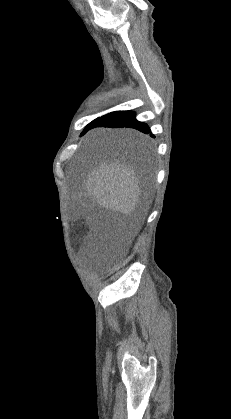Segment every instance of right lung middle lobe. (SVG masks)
Here are the masks:
<instances>
[{
	"label": "right lung middle lobe",
	"mask_w": 231,
	"mask_h": 419,
	"mask_svg": "<svg viewBox=\"0 0 231 419\" xmlns=\"http://www.w3.org/2000/svg\"><path fill=\"white\" fill-rule=\"evenodd\" d=\"M99 118H97V119H95V120H93L91 123H89L87 126H86V128L84 129V131H83V133H82V135L84 134V133H86L89 129H90V127L98 120ZM125 142H128L129 143V145H130V147L133 149V148H136V147H139V146H142L143 145V141H135V140H128V141H126L125 140Z\"/></svg>",
	"instance_id": "obj_1"
}]
</instances>
